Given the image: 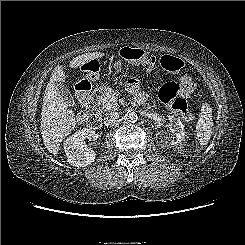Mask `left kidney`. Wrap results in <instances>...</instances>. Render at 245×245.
Listing matches in <instances>:
<instances>
[{"label":"left kidney","mask_w":245,"mask_h":245,"mask_svg":"<svg viewBox=\"0 0 245 245\" xmlns=\"http://www.w3.org/2000/svg\"><path fill=\"white\" fill-rule=\"evenodd\" d=\"M169 121L171 126H173L176 130L173 132V139L166 135V132L161 130L160 132L156 133V140L159 141L161 147L166 148L170 146H176L181 144L182 141H185L186 132L184 130V125L182 124L179 118H175L173 116L169 117ZM175 138V139H174Z\"/></svg>","instance_id":"left-kidney-1"}]
</instances>
